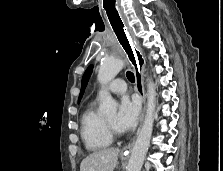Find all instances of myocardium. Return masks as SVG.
Listing matches in <instances>:
<instances>
[{"instance_id":"myocardium-1","label":"myocardium","mask_w":223,"mask_h":171,"mask_svg":"<svg viewBox=\"0 0 223 171\" xmlns=\"http://www.w3.org/2000/svg\"><path fill=\"white\" fill-rule=\"evenodd\" d=\"M104 122H105L106 129L111 137L119 135V133L115 130V128L106 119H104Z\"/></svg>"}]
</instances>
